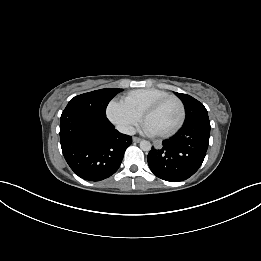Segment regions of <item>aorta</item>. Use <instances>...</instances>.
<instances>
[{"label":"aorta","mask_w":261,"mask_h":261,"mask_svg":"<svg viewBox=\"0 0 261 261\" xmlns=\"http://www.w3.org/2000/svg\"><path fill=\"white\" fill-rule=\"evenodd\" d=\"M140 148L143 150V151H149L151 149V143L149 141H146V140H142L140 142Z\"/></svg>","instance_id":"aorta-1"}]
</instances>
